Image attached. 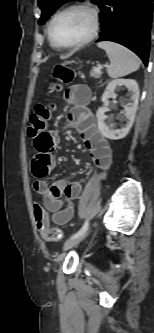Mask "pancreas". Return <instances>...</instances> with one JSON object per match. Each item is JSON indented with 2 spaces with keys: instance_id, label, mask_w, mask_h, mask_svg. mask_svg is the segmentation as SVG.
I'll list each match as a JSON object with an SVG mask.
<instances>
[{
  "instance_id": "obj_1",
  "label": "pancreas",
  "mask_w": 154,
  "mask_h": 333,
  "mask_svg": "<svg viewBox=\"0 0 154 333\" xmlns=\"http://www.w3.org/2000/svg\"><path fill=\"white\" fill-rule=\"evenodd\" d=\"M90 75L94 78H100L101 75H102V72L101 71H97L96 68H93L90 72Z\"/></svg>"
}]
</instances>
